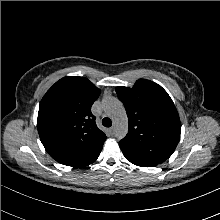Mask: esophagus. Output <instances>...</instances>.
Wrapping results in <instances>:
<instances>
[{
    "mask_svg": "<svg viewBox=\"0 0 220 220\" xmlns=\"http://www.w3.org/2000/svg\"><path fill=\"white\" fill-rule=\"evenodd\" d=\"M109 132H110V134H113V133H114V128L111 127V128L109 129Z\"/></svg>",
    "mask_w": 220,
    "mask_h": 220,
    "instance_id": "esophagus-1",
    "label": "esophagus"
}]
</instances>
